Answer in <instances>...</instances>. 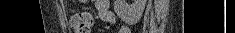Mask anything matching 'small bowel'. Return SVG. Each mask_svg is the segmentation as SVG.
I'll list each match as a JSON object with an SVG mask.
<instances>
[{
  "label": "small bowel",
  "instance_id": "c3829d8e",
  "mask_svg": "<svg viewBox=\"0 0 235 33\" xmlns=\"http://www.w3.org/2000/svg\"><path fill=\"white\" fill-rule=\"evenodd\" d=\"M95 6L98 11V15L101 20L106 23L113 25L115 24L114 14L109 9V1L108 0H96ZM119 33H129V29L127 27H122Z\"/></svg>",
  "mask_w": 235,
  "mask_h": 33
}]
</instances>
